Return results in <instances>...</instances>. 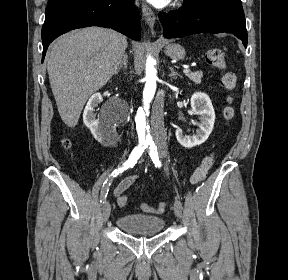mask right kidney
Returning <instances> with one entry per match:
<instances>
[{"label": "right kidney", "mask_w": 288, "mask_h": 280, "mask_svg": "<svg viewBox=\"0 0 288 280\" xmlns=\"http://www.w3.org/2000/svg\"><path fill=\"white\" fill-rule=\"evenodd\" d=\"M103 101L100 93L92 95L83 113L84 124L90 129L94 138L103 145H109L115 138V129L105 115L96 118L95 108Z\"/></svg>", "instance_id": "right-kidney-1"}]
</instances>
